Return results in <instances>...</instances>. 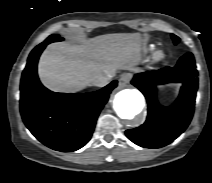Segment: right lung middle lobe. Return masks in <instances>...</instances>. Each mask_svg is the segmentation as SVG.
<instances>
[{
    "mask_svg": "<svg viewBox=\"0 0 212 183\" xmlns=\"http://www.w3.org/2000/svg\"><path fill=\"white\" fill-rule=\"evenodd\" d=\"M46 40H50V43H51L56 41H62L63 38L60 37L59 35H50Z\"/></svg>",
    "mask_w": 212,
    "mask_h": 183,
    "instance_id": "obj_1",
    "label": "right lung middle lobe"
}]
</instances>
